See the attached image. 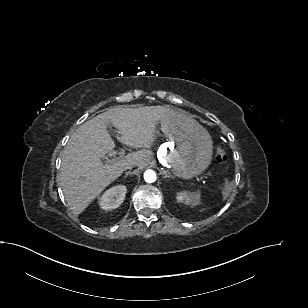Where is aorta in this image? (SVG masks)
Masks as SVG:
<instances>
[{"label":"aorta","instance_id":"1","mask_svg":"<svg viewBox=\"0 0 308 308\" xmlns=\"http://www.w3.org/2000/svg\"><path fill=\"white\" fill-rule=\"evenodd\" d=\"M156 173L153 170H146L144 173V180L148 183H153L156 181Z\"/></svg>","mask_w":308,"mask_h":308}]
</instances>
